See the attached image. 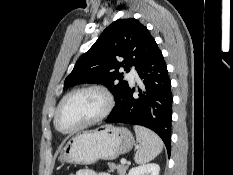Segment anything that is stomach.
Listing matches in <instances>:
<instances>
[{"instance_id":"1","label":"stomach","mask_w":233,"mask_h":175,"mask_svg":"<svg viewBox=\"0 0 233 175\" xmlns=\"http://www.w3.org/2000/svg\"><path fill=\"white\" fill-rule=\"evenodd\" d=\"M132 133L124 127L103 125L71 137L60 149L59 160L89 165L98 160H114L134 145Z\"/></svg>"}]
</instances>
